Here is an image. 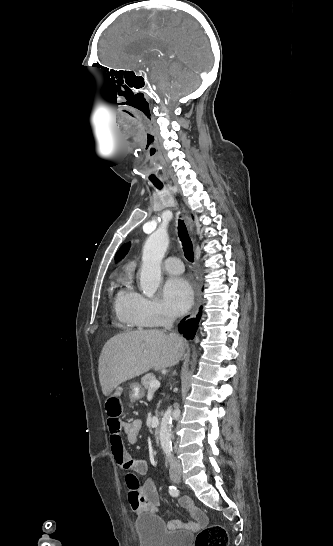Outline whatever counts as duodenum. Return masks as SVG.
Instances as JSON below:
<instances>
[{"mask_svg":"<svg viewBox=\"0 0 333 546\" xmlns=\"http://www.w3.org/2000/svg\"><path fill=\"white\" fill-rule=\"evenodd\" d=\"M153 439L156 443H160L161 441V433H160L159 425H156L153 429Z\"/></svg>","mask_w":333,"mask_h":546,"instance_id":"410a0bca","label":"duodenum"}]
</instances>
